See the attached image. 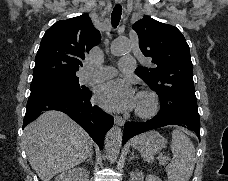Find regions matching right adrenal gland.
<instances>
[{"mask_svg": "<svg viewBox=\"0 0 228 181\" xmlns=\"http://www.w3.org/2000/svg\"><path fill=\"white\" fill-rule=\"evenodd\" d=\"M92 157H93V153H92V155H90V157H88V159H86V161H84V163H88V161H90V163L92 165V163H93Z\"/></svg>", "mask_w": 228, "mask_h": 181, "instance_id": "1", "label": "right adrenal gland"}]
</instances>
